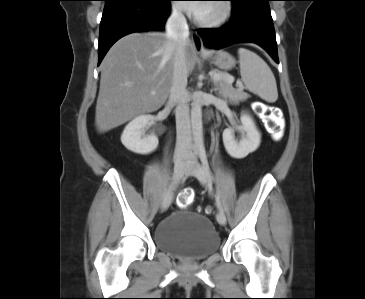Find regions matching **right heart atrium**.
Here are the masks:
<instances>
[{
	"instance_id": "1",
	"label": "right heart atrium",
	"mask_w": 365,
	"mask_h": 299,
	"mask_svg": "<svg viewBox=\"0 0 365 299\" xmlns=\"http://www.w3.org/2000/svg\"><path fill=\"white\" fill-rule=\"evenodd\" d=\"M171 11L176 16H182V9H181V7L178 4H174L171 7Z\"/></svg>"
}]
</instances>
